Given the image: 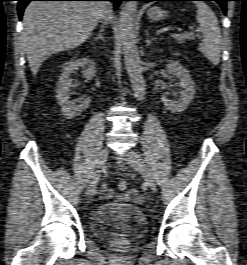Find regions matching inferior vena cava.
<instances>
[{
	"instance_id": "inferior-vena-cava-1",
	"label": "inferior vena cava",
	"mask_w": 247,
	"mask_h": 265,
	"mask_svg": "<svg viewBox=\"0 0 247 265\" xmlns=\"http://www.w3.org/2000/svg\"><path fill=\"white\" fill-rule=\"evenodd\" d=\"M105 11L101 14L100 20L102 23L107 24L112 18V6L110 3L105 2Z\"/></svg>"
}]
</instances>
